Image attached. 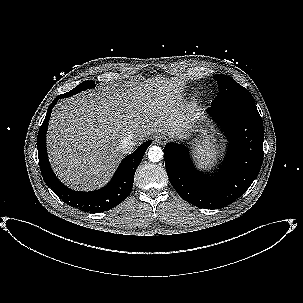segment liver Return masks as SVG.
<instances>
[{
	"label": "liver",
	"mask_w": 303,
	"mask_h": 303,
	"mask_svg": "<svg viewBox=\"0 0 303 303\" xmlns=\"http://www.w3.org/2000/svg\"><path fill=\"white\" fill-rule=\"evenodd\" d=\"M184 83L153 77L134 85H106L59 102L47 134L51 165L74 189L103 186L123 159L121 140L134 147L152 134L182 138L197 116L185 105Z\"/></svg>",
	"instance_id": "obj_1"
}]
</instances>
